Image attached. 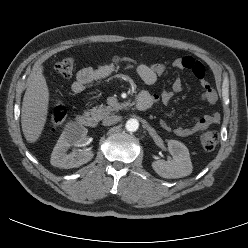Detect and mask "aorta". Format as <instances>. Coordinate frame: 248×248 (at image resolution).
<instances>
[{
  "label": "aorta",
  "mask_w": 248,
  "mask_h": 248,
  "mask_svg": "<svg viewBox=\"0 0 248 248\" xmlns=\"http://www.w3.org/2000/svg\"><path fill=\"white\" fill-rule=\"evenodd\" d=\"M125 127H126L127 131L135 132L139 128V122L137 119L131 118L126 122Z\"/></svg>",
  "instance_id": "aorta-1"
}]
</instances>
